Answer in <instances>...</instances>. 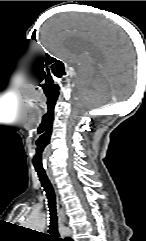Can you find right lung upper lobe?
<instances>
[{"label": "right lung upper lobe", "mask_w": 146, "mask_h": 241, "mask_svg": "<svg viewBox=\"0 0 146 241\" xmlns=\"http://www.w3.org/2000/svg\"><path fill=\"white\" fill-rule=\"evenodd\" d=\"M64 241H72L71 238L67 237L64 239Z\"/></svg>", "instance_id": "1"}]
</instances>
